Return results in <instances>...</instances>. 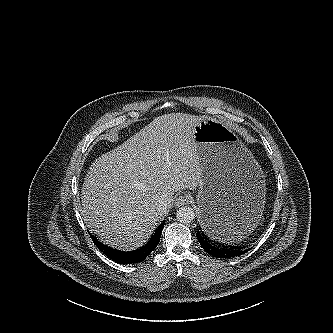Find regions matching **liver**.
Segmentation results:
<instances>
[{
  "instance_id": "1",
  "label": "liver",
  "mask_w": 333,
  "mask_h": 333,
  "mask_svg": "<svg viewBox=\"0 0 333 333\" xmlns=\"http://www.w3.org/2000/svg\"><path fill=\"white\" fill-rule=\"evenodd\" d=\"M201 120L185 113L156 117L93 162L81 191V215L92 233L125 249L147 241L175 192L200 185L194 128Z\"/></svg>"
}]
</instances>
